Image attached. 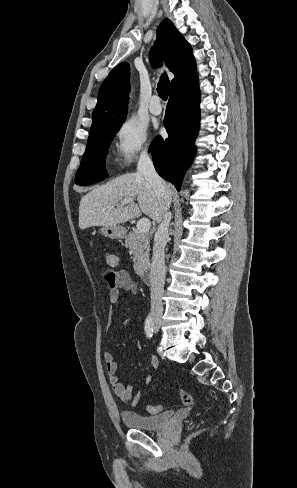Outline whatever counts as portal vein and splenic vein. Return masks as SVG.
I'll use <instances>...</instances> for the list:
<instances>
[{"label":"portal vein and splenic vein","mask_w":297,"mask_h":488,"mask_svg":"<svg viewBox=\"0 0 297 488\" xmlns=\"http://www.w3.org/2000/svg\"><path fill=\"white\" fill-rule=\"evenodd\" d=\"M133 201H134V199H133V198H126V199H124L123 201H121V205H127V204H129V203H131V202H133ZM114 207H115V206L113 205V206H111L110 208H112V209H113ZM136 227H137V230H138L139 232H142V233H144V232H148V231L150 230V228H151V222H150V220H149V219H147V218H142V219H140V220L138 221V223H137V226H136Z\"/></svg>","instance_id":"1"}]
</instances>
